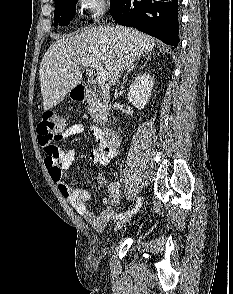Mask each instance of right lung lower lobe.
Returning a JSON list of instances; mask_svg holds the SVG:
<instances>
[{
  "mask_svg": "<svg viewBox=\"0 0 233 294\" xmlns=\"http://www.w3.org/2000/svg\"><path fill=\"white\" fill-rule=\"evenodd\" d=\"M110 14L118 24L141 30L174 48L179 43L178 0H115Z\"/></svg>",
  "mask_w": 233,
  "mask_h": 294,
  "instance_id": "1",
  "label": "right lung lower lobe"
}]
</instances>
